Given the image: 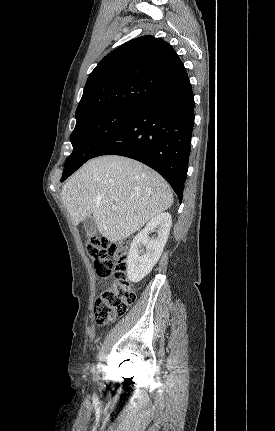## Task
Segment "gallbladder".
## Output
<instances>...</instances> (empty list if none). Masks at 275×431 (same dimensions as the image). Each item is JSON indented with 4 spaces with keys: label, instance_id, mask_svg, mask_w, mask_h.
Wrapping results in <instances>:
<instances>
[{
    "label": "gallbladder",
    "instance_id": "gallbladder-1",
    "mask_svg": "<svg viewBox=\"0 0 275 431\" xmlns=\"http://www.w3.org/2000/svg\"><path fill=\"white\" fill-rule=\"evenodd\" d=\"M85 231L90 235H95L97 233L96 223L93 216H88L83 222Z\"/></svg>",
    "mask_w": 275,
    "mask_h": 431
}]
</instances>
